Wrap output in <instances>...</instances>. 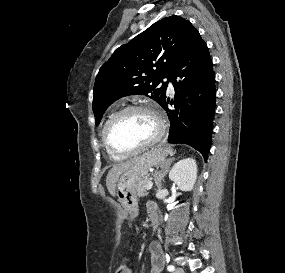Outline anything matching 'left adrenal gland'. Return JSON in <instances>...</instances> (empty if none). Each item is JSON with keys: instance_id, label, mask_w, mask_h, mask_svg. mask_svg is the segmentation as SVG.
Segmentation results:
<instances>
[{"instance_id": "1", "label": "left adrenal gland", "mask_w": 285, "mask_h": 273, "mask_svg": "<svg viewBox=\"0 0 285 273\" xmlns=\"http://www.w3.org/2000/svg\"><path fill=\"white\" fill-rule=\"evenodd\" d=\"M173 159L167 160L162 166H161V171H156L155 172V183L158 188V190L161 189L162 183L161 181L163 180L164 176L167 174L168 169H169V164Z\"/></svg>"}]
</instances>
